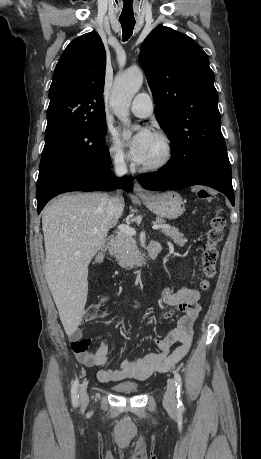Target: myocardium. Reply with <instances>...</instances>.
I'll return each instance as SVG.
<instances>
[{
	"mask_svg": "<svg viewBox=\"0 0 261 459\" xmlns=\"http://www.w3.org/2000/svg\"><path fill=\"white\" fill-rule=\"evenodd\" d=\"M154 136L157 137L162 142L164 146V153L159 160L153 163L143 164L141 166V169L144 171L151 172V171L161 170L162 168L166 167L170 163L173 157V144H172V140L170 139V137L166 133H163V132H156Z\"/></svg>",
	"mask_w": 261,
	"mask_h": 459,
	"instance_id": "myocardium-1",
	"label": "myocardium"
}]
</instances>
